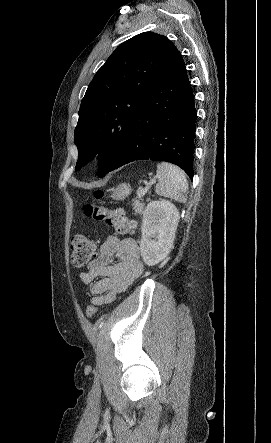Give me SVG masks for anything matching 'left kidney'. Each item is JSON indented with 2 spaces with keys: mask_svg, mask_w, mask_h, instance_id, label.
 Masks as SVG:
<instances>
[{
  "mask_svg": "<svg viewBox=\"0 0 271 443\" xmlns=\"http://www.w3.org/2000/svg\"><path fill=\"white\" fill-rule=\"evenodd\" d=\"M180 214L171 202H150L142 222L140 251L147 265H156L167 257L173 241Z\"/></svg>",
  "mask_w": 271,
  "mask_h": 443,
  "instance_id": "obj_1",
  "label": "left kidney"
}]
</instances>
